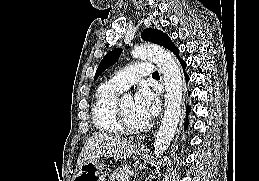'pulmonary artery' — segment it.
Here are the masks:
<instances>
[{"label":"pulmonary artery","instance_id":"e3ab8cb5","mask_svg":"<svg viewBox=\"0 0 259 181\" xmlns=\"http://www.w3.org/2000/svg\"><path fill=\"white\" fill-rule=\"evenodd\" d=\"M153 73L154 71L151 63L140 61L118 72L109 82L114 86L125 90L136 83L139 78L152 76Z\"/></svg>","mask_w":259,"mask_h":181}]
</instances>
